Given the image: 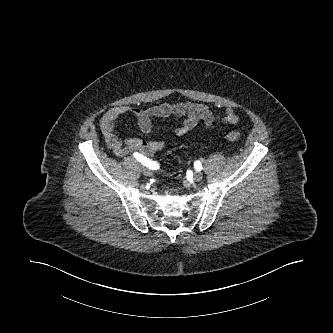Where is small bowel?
<instances>
[{"label":"small bowel","mask_w":333,"mask_h":333,"mask_svg":"<svg viewBox=\"0 0 333 333\" xmlns=\"http://www.w3.org/2000/svg\"><path fill=\"white\" fill-rule=\"evenodd\" d=\"M125 115L133 116L143 135H148L153 126V120L171 115L182 118L181 124L175 129V134L182 136L196 128L199 124L207 129L214 121L212 111L203 104L195 102L161 103L148 108H137L121 105L107 110L100 119V129L107 146L118 157L134 153L151 156L166 147V142L145 140L142 138L120 139L115 133L116 122ZM225 121L236 123L238 118L232 113L226 114Z\"/></svg>","instance_id":"1"}]
</instances>
